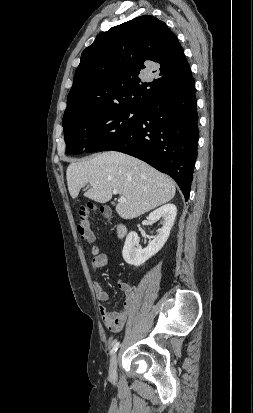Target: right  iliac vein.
I'll list each match as a JSON object with an SVG mask.
<instances>
[{
  "label": "right iliac vein",
  "instance_id": "63e3f726",
  "mask_svg": "<svg viewBox=\"0 0 253 413\" xmlns=\"http://www.w3.org/2000/svg\"><path fill=\"white\" fill-rule=\"evenodd\" d=\"M109 377L111 380H115L117 377V354L114 353L110 360Z\"/></svg>",
  "mask_w": 253,
  "mask_h": 413
}]
</instances>
